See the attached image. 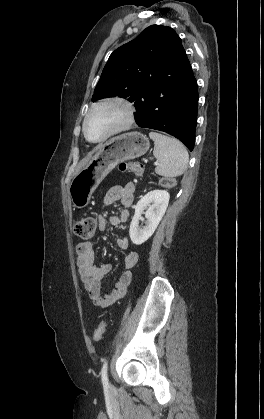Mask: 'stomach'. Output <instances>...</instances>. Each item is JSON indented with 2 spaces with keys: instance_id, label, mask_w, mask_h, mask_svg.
Returning <instances> with one entry per match:
<instances>
[{
  "instance_id": "stomach-1",
  "label": "stomach",
  "mask_w": 264,
  "mask_h": 419,
  "mask_svg": "<svg viewBox=\"0 0 264 419\" xmlns=\"http://www.w3.org/2000/svg\"><path fill=\"white\" fill-rule=\"evenodd\" d=\"M149 146L148 138L140 132L122 134L102 144L69 185L73 206L78 209L86 207L95 189L117 164L144 155Z\"/></svg>"
}]
</instances>
